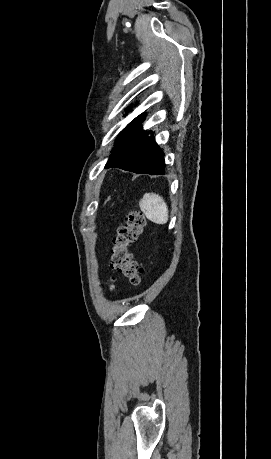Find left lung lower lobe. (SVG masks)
I'll use <instances>...</instances> for the list:
<instances>
[{
	"instance_id": "obj_1",
	"label": "left lung lower lobe",
	"mask_w": 271,
	"mask_h": 459,
	"mask_svg": "<svg viewBox=\"0 0 271 459\" xmlns=\"http://www.w3.org/2000/svg\"><path fill=\"white\" fill-rule=\"evenodd\" d=\"M143 117L132 120L118 135L105 168L117 167L151 175L165 173V154L153 132L142 130Z\"/></svg>"
}]
</instances>
